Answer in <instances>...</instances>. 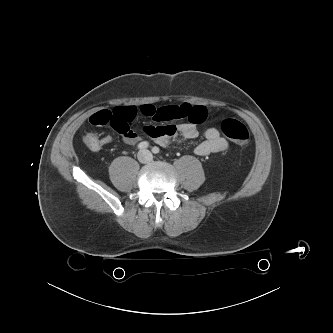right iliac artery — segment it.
<instances>
[{
  "label": "right iliac artery",
  "mask_w": 333,
  "mask_h": 333,
  "mask_svg": "<svg viewBox=\"0 0 333 333\" xmlns=\"http://www.w3.org/2000/svg\"><path fill=\"white\" fill-rule=\"evenodd\" d=\"M148 147H149V143L146 142V141L140 142V143L138 144V148H139L140 150L147 149Z\"/></svg>",
  "instance_id": "obj_1"
}]
</instances>
